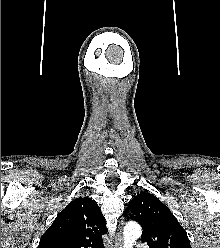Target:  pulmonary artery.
I'll return each instance as SVG.
<instances>
[{"label": "pulmonary artery", "instance_id": "obj_1", "mask_svg": "<svg viewBox=\"0 0 220 248\" xmlns=\"http://www.w3.org/2000/svg\"><path fill=\"white\" fill-rule=\"evenodd\" d=\"M137 248H149V247H147V246L144 245V244H140V245L137 246Z\"/></svg>", "mask_w": 220, "mask_h": 248}]
</instances>
